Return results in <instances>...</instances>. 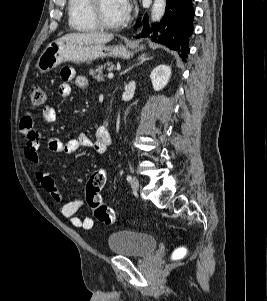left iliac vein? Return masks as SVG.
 Listing matches in <instances>:
<instances>
[{"label":"left iliac vein","mask_w":267,"mask_h":301,"mask_svg":"<svg viewBox=\"0 0 267 301\" xmlns=\"http://www.w3.org/2000/svg\"><path fill=\"white\" fill-rule=\"evenodd\" d=\"M131 188L134 191H137L139 188V180L137 177H133L131 180Z\"/></svg>","instance_id":"left-iliac-vein-1"}]
</instances>
